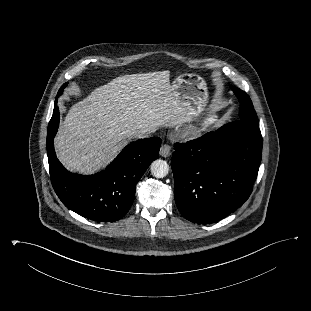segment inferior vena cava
<instances>
[{
	"label": "inferior vena cava",
	"mask_w": 311,
	"mask_h": 311,
	"mask_svg": "<svg viewBox=\"0 0 311 311\" xmlns=\"http://www.w3.org/2000/svg\"><path fill=\"white\" fill-rule=\"evenodd\" d=\"M150 133L151 132H147V131H139V132L133 133V136L139 139L147 138Z\"/></svg>",
	"instance_id": "inferior-vena-cava-1"
}]
</instances>
